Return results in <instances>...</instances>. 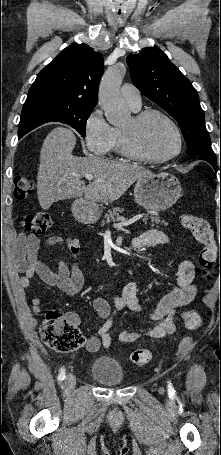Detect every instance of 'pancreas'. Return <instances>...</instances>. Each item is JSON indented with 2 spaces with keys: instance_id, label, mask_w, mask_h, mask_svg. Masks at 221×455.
Listing matches in <instances>:
<instances>
[{
  "instance_id": "1",
  "label": "pancreas",
  "mask_w": 221,
  "mask_h": 455,
  "mask_svg": "<svg viewBox=\"0 0 221 455\" xmlns=\"http://www.w3.org/2000/svg\"><path fill=\"white\" fill-rule=\"evenodd\" d=\"M124 212V209L120 207H115L112 210H108V212L104 215L105 220L101 222V225L104 226L106 223L110 221H123L125 220L124 216L121 215V213ZM144 222H147L150 220L151 224H161L164 223V221L160 220L158 216H150V217H145Z\"/></svg>"
}]
</instances>
